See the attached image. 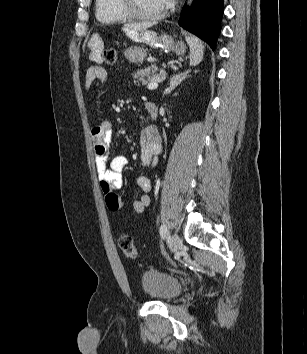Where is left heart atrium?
I'll return each instance as SVG.
<instances>
[{"label": "left heart atrium", "mask_w": 307, "mask_h": 354, "mask_svg": "<svg viewBox=\"0 0 307 354\" xmlns=\"http://www.w3.org/2000/svg\"><path fill=\"white\" fill-rule=\"evenodd\" d=\"M163 8L170 6L173 3V0H160Z\"/></svg>", "instance_id": "39dd6f15"}]
</instances>
